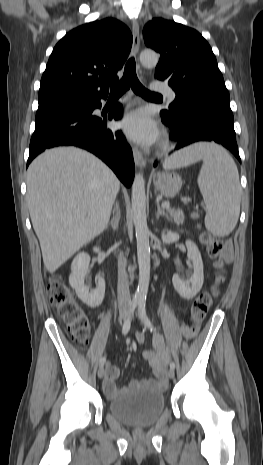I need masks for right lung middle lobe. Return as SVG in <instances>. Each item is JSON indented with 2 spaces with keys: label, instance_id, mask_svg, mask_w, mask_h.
<instances>
[{
  "label": "right lung middle lobe",
  "instance_id": "right-lung-middle-lobe-1",
  "mask_svg": "<svg viewBox=\"0 0 263 465\" xmlns=\"http://www.w3.org/2000/svg\"><path fill=\"white\" fill-rule=\"evenodd\" d=\"M89 102V98L84 97H58L47 100L39 101L37 113L62 108V107H75L83 106Z\"/></svg>",
  "mask_w": 263,
  "mask_h": 465
}]
</instances>
